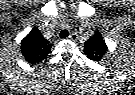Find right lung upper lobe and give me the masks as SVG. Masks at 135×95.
Here are the masks:
<instances>
[{
	"instance_id": "cb5924a9",
	"label": "right lung upper lobe",
	"mask_w": 135,
	"mask_h": 95,
	"mask_svg": "<svg viewBox=\"0 0 135 95\" xmlns=\"http://www.w3.org/2000/svg\"><path fill=\"white\" fill-rule=\"evenodd\" d=\"M52 45L43 37L37 27L21 41V53L30 64L43 61L50 53Z\"/></svg>"
}]
</instances>
